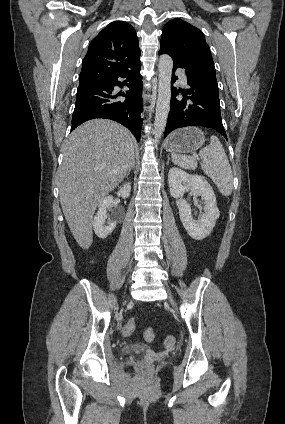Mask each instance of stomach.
<instances>
[{
	"label": "stomach",
	"instance_id": "stomach-1",
	"mask_svg": "<svg viewBox=\"0 0 285 424\" xmlns=\"http://www.w3.org/2000/svg\"><path fill=\"white\" fill-rule=\"evenodd\" d=\"M205 142V136L197 127H187L174 131L166 139L165 147L172 153H190L199 149Z\"/></svg>",
	"mask_w": 285,
	"mask_h": 424
}]
</instances>
